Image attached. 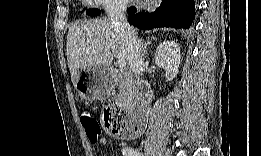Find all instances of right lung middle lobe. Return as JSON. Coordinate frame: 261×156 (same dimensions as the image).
Segmentation results:
<instances>
[{
  "mask_svg": "<svg viewBox=\"0 0 261 156\" xmlns=\"http://www.w3.org/2000/svg\"><path fill=\"white\" fill-rule=\"evenodd\" d=\"M87 14L90 16H97V15L101 14V11L98 9H88Z\"/></svg>",
  "mask_w": 261,
  "mask_h": 156,
  "instance_id": "obj_1",
  "label": "right lung middle lobe"
}]
</instances>
